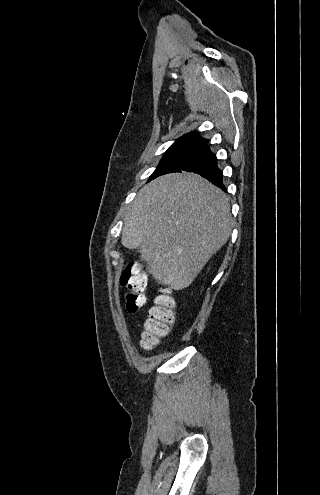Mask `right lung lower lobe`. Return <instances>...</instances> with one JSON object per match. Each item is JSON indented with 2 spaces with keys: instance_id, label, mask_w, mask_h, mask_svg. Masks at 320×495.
I'll use <instances>...</instances> for the list:
<instances>
[{
  "instance_id": "98d812e1",
  "label": "right lung lower lobe",
  "mask_w": 320,
  "mask_h": 495,
  "mask_svg": "<svg viewBox=\"0 0 320 495\" xmlns=\"http://www.w3.org/2000/svg\"><path fill=\"white\" fill-rule=\"evenodd\" d=\"M182 170L197 173L226 192L222 170L218 168L216 156L211 152L207 143L189 158L177 172Z\"/></svg>"
}]
</instances>
